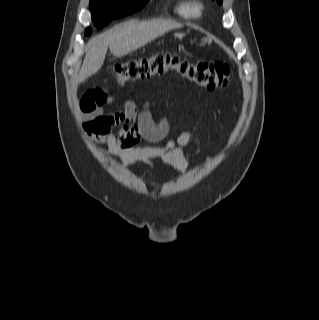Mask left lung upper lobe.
Instances as JSON below:
<instances>
[{
  "label": "left lung upper lobe",
  "mask_w": 319,
  "mask_h": 320,
  "mask_svg": "<svg viewBox=\"0 0 319 320\" xmlns=\"http://www.w3.org/2000/svg\"><path fill=\"white\" fill-rule=\"evenodd\" d=\"M219 4H222V0H217Z\"/></svg>",
  "instance_id": "left-lung-upper-lobe-1"
}]
</instances>
